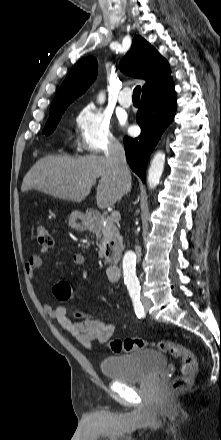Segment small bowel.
Listing matches in <instances>:
<instances>
[{"label":"small bowel","instance_id":"obj_1","mask_svg":"<svg viewBox=\"0 0 221 440\" xmlns=\"http://www.w3.org/2000/svg\"><path fill=\"white\" fill-rule=\"evenodd\" d=\"M47 248H42L41 253H46ZM73 264L80 266L84 263V257L80 253H76L72 258ZM43 259L41 255H32L25 265V273L27 278L34 282L36 272L41 269ZM42 307L48 316L55 320L60 327L68 332L77 342L86 348L93 349L96 345H101L109 341L114 333L113 323L106 324L97 322V320L88 321L86 318H77L70 321L67 318V310L65 307H52L49 303L43 301Z\"/></svg>","mask_w":221,"mask_h":440}]
</instances>
